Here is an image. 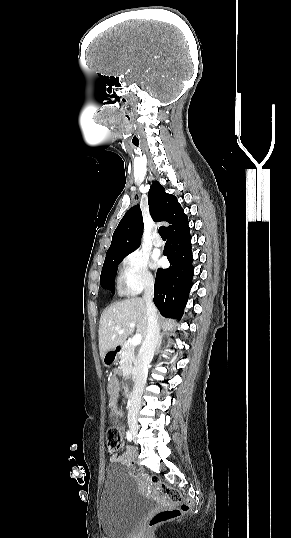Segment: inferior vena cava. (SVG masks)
Returning a JSON list of instances; mask_svg holds the SVG:
<instances>
[{
  "label": "inferior vena cava",
  "mask_w": 291,
  "mask_h": 538,
  "mask_svg": "<svg viewBox=\"0 0 291 538\" xmlns=\"http://www.w3.org/2000/svg\"><path fill=\"white\" fill-rule=\"evenodd\" d=\"M154 282L147 281L143 299L147 309V332L139 353V369L135 380V387L128 407V422L135 423L141 408V397L146 384L148 367L154 357L159 341V325L157 309L153 303Z\"/></svg>",
  "instance_id": "inferior-vena-cava-1"
}]
</instances>
